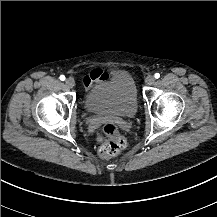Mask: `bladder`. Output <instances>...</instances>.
Returning a JSON list of instances; mask_svg holds the SVG:
<instances>
[{
	"instance_id": "1",
	"label": "bladder",
	"mask_w": 217,
	"mask_h": 217,
	"mask_svg": "<svg viewBox=\"0 0 217 217\" xmlns=\"http://www.w3.org/2000/svg\"><path fill=\"white\" fill-rule=\"evenodd\" d=\"M84 104L90 114L113 118L134 115L138 108L135 81L131 76L122 81H102L93 93L84 94Z\"/></svg>"
}]
</instances>
